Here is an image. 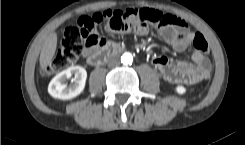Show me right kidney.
I'll list each match as a JSON object with an SVG mask.
<instances>
[{"mask_svg":"<svg viewBox=\"0 0 245 145\" xmlns=\"http://www.w3.org/2000/svg\"><path fill=\"white\" fill-rule=\"evenodd\" d=\"M74 75V82L67 85V79ZM86 70L81 66H72L58 73L49 83L48 92L53 98L69 100L78 96L85 87Z\"/></svg>","mask_w":245,"mask_h":145,"instance_id":"ca27d5eb","label":"right kidney"}]
</instances>
